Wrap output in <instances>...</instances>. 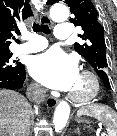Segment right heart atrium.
<instances>
[{"mask_svg":"<svg viewBox=\"0 0 117 136\" xmlns=\"http://www.w3.org/2000/svg\"><path fill=\"white\" fill-rule=\"evenodd\" d=\"M30 92L33 94V95H40L42 93V90L40 88V86L36 83H32L30 85Z\"/></svg>","mask_w":117,"mask_h":136,"instance_id":"d8ad5b80","label":"right heart atrium"}]
</instances>
